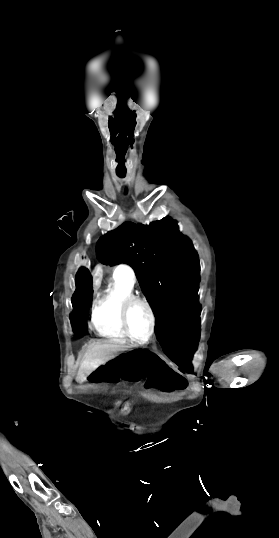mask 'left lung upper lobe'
<instances>
[{"label":"left lung upper lobe","mask_w":279,"mask_h":538,"mask_svg":"<svg viewBox=\"0 0 279 538\" xmlns=\"http://www.w3.org/2000/svg\"><path fill=\"white\" fill-rule=\"evenodd\" d=\"M104 264H129L156 316V332H183L199 326V259L170 218L149 225L125 222L96 246Z\"/></svg>","instance_id":"obj_1"}]
</instances>
